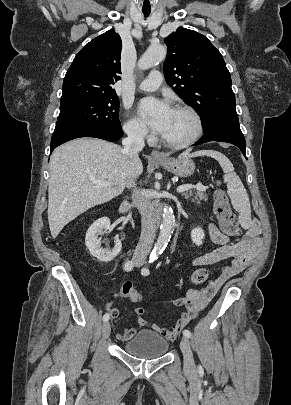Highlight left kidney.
<instances>
[{
	"label": "left kidney",
	"mask_w": 291,
	"mask_h": 405,
	"mask_svg": "<svg viewBox=\"0 0 291 405\" xmlns=\"http://www.w3.org/2000/svg\"><path fill=\"white\" fill-rule=\"evenodd\" d=\"M204 237H205V234L201 227L194 228L191 231V239H192L193 243L196 244L197 246L202 245Z\"/></svg>",
	"instance_id": "left-kidney-1"
}]
</instances>
